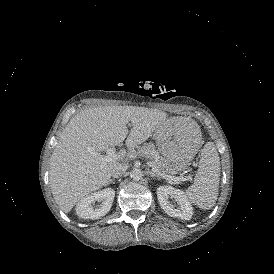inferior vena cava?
<instances>
[{
  "instance_id": "obj_1",
  "label": "inferior vena cava",
  "mask_w": 274,
  "mask_h": 274,
  "mask_svg": "<svg viewBox=\"0 0 274 274\" xmlns=\"http://www.w3.org/2000/svg\"><path fill=\"white\" fill-rule=\"evenodd\" d=\"M126 170H127V166L126 165H124V164H118L112 170L111 175H112L113 178H119V177H121L122 175L125 174Z\"/></svg>"
}]
</instances>
